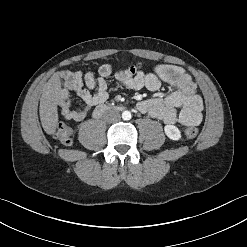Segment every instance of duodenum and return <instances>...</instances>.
<instances>
[{
  "label": "duodenum",
  "mask_w": 247,
  "mask_h": 247,
  "mask_svg": "<svg viewBox=\"0 0 247 247\" xmlns=\"http://www.w3.org/2000/svg\"><path fill=\"white\" fill-rule=\"evenodd\" d=\"M108 110H109V107L107 105H100L99 107L95 109L93 115L95 118H99Z\"/></svg>",
  "instance_id": "duodenum-1"
}]
</instances>
